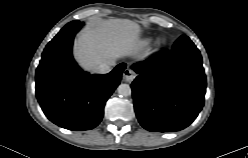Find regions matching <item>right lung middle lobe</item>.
Segmentation results:
<instances>
[{
    "mask_svg": "<svg viewBox=\"0 0 248 158\" xmlns=\"http://www.w3.org/2000/svg\"><path fill=\"white\" fill-rule=\"evenodd\" d=\"M77 22H80V21H72V22H70V23H68L67 25H71V24H74V23H77Z\"/></svg>",
    "mask_w": 248,
    "mask_h": 158,
    "instance_id": "1",
    "label": "right lung middle lobe"
}]
</instances>
